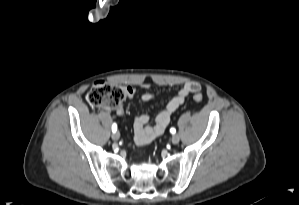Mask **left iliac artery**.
Returning a JSON list of instances; mask_svg holds the SVG:
<instances>
[{"label": "left iliac artery", "mask_w": 299, "mask_h": 205, "mask_svg": "<svg viewBox=\"0 0 299 205\" xmlns=\"http://www.w3.org/2000/svg\"><path fill=\"white\" fill-rule=\"evenodd\" d=\"M170 132H171L172 134H175L176 129H175V128H171V129H170Z\"/></svg>", "instance_id": "left-iliac-artery-1"}]
</instances>
